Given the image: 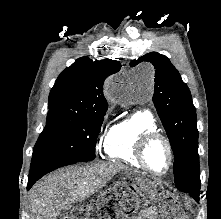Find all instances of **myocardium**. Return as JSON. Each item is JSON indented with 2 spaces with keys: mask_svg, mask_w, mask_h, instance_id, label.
I'll return each mask as SVG.
<instances>
[{
  "mask_svg": "<svg viewBox=\"0 0 221 219\" xmlns=\"http://www.w3.org/2000/svg\"><path fill=\"white\" fill-rule=\"evenodd\" d=\"M156 140H160L162 141L165 146L166 149L168 151V156H169V165L168 168L165 172L163 173H158L155 172L147 163L146 160V150L148 148V146L156 141ZM135 156L138 160V162L140 163V165L147 171L149 172L151 175L153 176H157V177H163L167 174H169L171 172V170L173 169V165H174V151H173V147L171 142L169 141V139L164 136L163 134H161L158 131H147L144 132L137 140L136 145H135Z\"/></svg>",
  "mask_w": 221,
  "mask_h": 219,
  "instance_id": "1",
  "label": "myocardium"
}]
</instances>
